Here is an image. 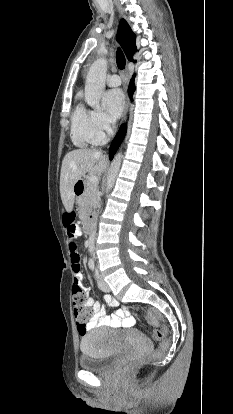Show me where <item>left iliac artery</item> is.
<instances>
[{
	"label": "left iliac artery",
	"mask_w": 233,
	"mask_h": 414,
	"mask_svg": "<svg viewBox=\"0 0 233 414\" xmlns=\"http://www.w3.org/2000/svg\"><path fill=\"white\" fill-rule=\"evenodd\" d=\"M95 276H96V278H99V272H98L97 269L95 270Z\"/></svg>",
	"instance_id": "obj_1"
}]
</instances>
